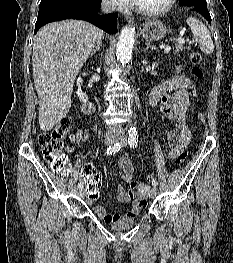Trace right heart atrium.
<instances>
[{"label": "right heart atrium", "instance_id": "obj_1", "mask_svg": "<svg viewBox=\"0 0 233 263\" xmlns=\"http://www.w3.org/2000/svg\"><path fill=\"white\" fill-rule=\"evenodd\" d=\"M105 5L112 9L122 11L128 7V0H103Z\"/></svg>", "mask_w": 233, "mask_h": 263}]
</instances>
